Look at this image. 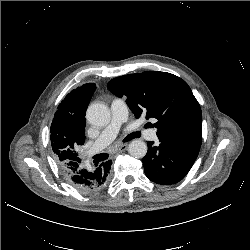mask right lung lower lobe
<instances>
[{
  "mask_svg": "<svg viewBox=\"0 0 250 250\" xmlns=\"http://www.w3.org/2000/svg\"><path fill=\"white\" fill-rule=\"evenodd\" d=\"M112 162L106 161L96 168L85 167L81 160L59 164L60 170L67 181L83 193L96 192L103 189L109 181V171Z\"/></svg>",
  "mask_w": 250,
  "mask_h": 250,
  "instance_id": "obj_1",
  "label": "right lung lower lobe"
}]
</instances>
